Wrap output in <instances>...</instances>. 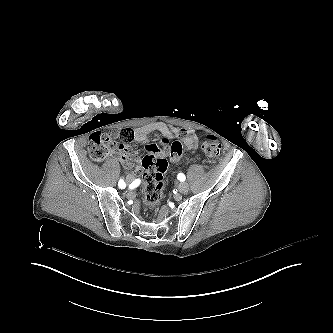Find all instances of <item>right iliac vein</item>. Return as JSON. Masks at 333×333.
Returning a JSON list of instances; mask_svg holds the SVG:
<instances>
[{
    "label": "right iliac vein",
    "mask_w": 333,
    "mask_h": 333,
    "mask_svg": "<svg viewBox=\"0 0 333 333\" xmlns=\"http://www.w3.org/2000/svg\"><path fill=\"white\" fill-rule=\"evenodd\" d=\"M134 180V176L132 174H129L127 177H126V182L129 184L131 183L132 181Z\"/></svg>",
    "instance_id": "right-iliac-vein-1"
}]
</instances>
